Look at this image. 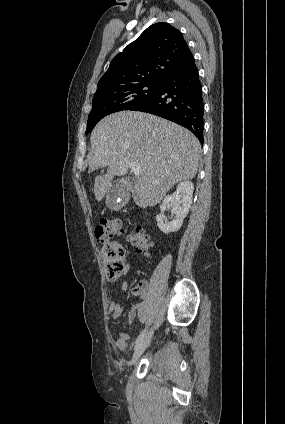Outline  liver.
<instances>
[{
	"label": "liver",
	"instance_id": "6515ba94",
	"mask_svg": "<svg viewBox=\"0 0 285 424\" xmlns=\"http://www.w3.org/2000/svg\"><path fill=\"white\" fill-rule=\"evenodd\" d=\"M89 173L108 167L94 181L100 202L115 176L128 172L130 163L142 173L135 181L140 204L155 206L178 182L192 179L198 169L201 145L187 129L161 117L136 111H121L102 119L91 134Z\"/></svg>",
	"mask_w": 285,
	"mask_h": 424
}]
</instances>
